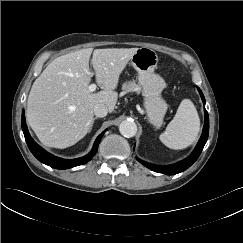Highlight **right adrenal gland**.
Instances as JSON below:
<instances>
[{"label": "right adrenal gland", "instance_id": "right-adrenal-gland-1", "mask_svg": "<svg viewBox=\"0 0 243 243\" xmlns=\"http://www.w3.org/2000/svg\"><path fill=\"white\" fill-rule=\"evenodd\" d=\"M97 119V117H95V118H93V120H92V123H91V128H90V131H89V133L92 131V128H93V124H94V121Z\"/></svg>", "mask_w": 243, "mask_h": 243}]
</instances>
